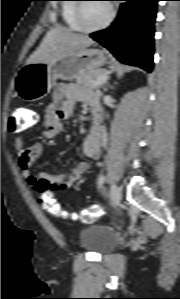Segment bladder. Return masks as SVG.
Segmentation results:
<instances>
[{
	"label": "bladder",
	"instance_id": "bladder-1",
	"mask_svg": "<svg viewBox=\"0 0 180 299\" xmlns=\"http://www.w3.org/2000/svg\"><path fill=\"white\" fill-rule=\"evenodd\" d=\"M77 239L80 247L99 254L110 252L118 243L115 231L97 221L83 225L78 231Z\"/></svg>",
	"mask_w": 180,
	"mask_h": 299
}]
</instances>
